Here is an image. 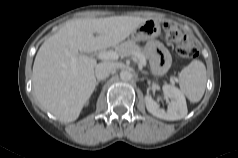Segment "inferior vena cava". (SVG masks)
<instances>
[{"instance_id": "obj_1", "label": "inferior vena cava", "mask_w": 238, "mask_h": 158, "mask_svg": "<svg viewBox=\"0 0 238 158\" xmlns=\"http://www.w3.org/2000/svg\"><path fill=\"white\" fill-rule=\"evenodd\" d=\"M112 70L113 68L109 63L102 62L96 65L95 75L98 80H103L112 72Z\"/></svg>"}]
</instances>
